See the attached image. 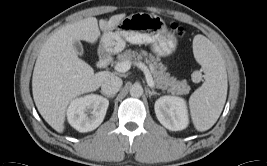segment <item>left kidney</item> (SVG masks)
<instances>
[{"instance_id":"5707ae66","label":"left kidney","mask_w":267,"mask_h":166,"mask_svg":"<svg viewBox=\"0 0 267 166\" xmlns=\"http://www.w3.org/2000/svg\"><path fill=\"white\" fill-rule=\"evenodd\" d=\"M154 109L157 119L168 130L179 131L188 126V111L184 99L162 96L155 102Z\"/></svg>"}]
</instances>
